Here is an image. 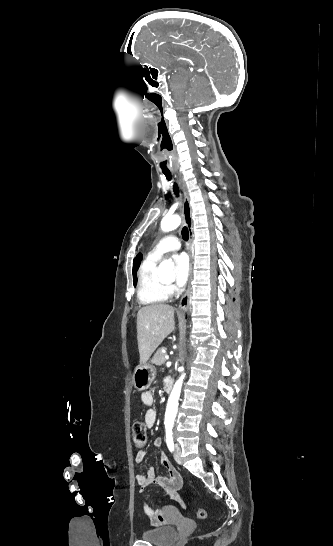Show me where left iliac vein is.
<instances>
[{
  "mask_svg": "<svg viewBox=\"0 0 333 546\" xmlns=\"http://www.w3.org/2000/svg\"><path fill=\"white\" fill-rule=\"evenodd\" d=\"M174 459L178 464H181L182 458H181V448L178 444L175 446V452H174Z\"/></svg>",
  "mask_w": 333,
  "mask_h": 546,
  "instance_id": "1",
  "label": "left iliac vein"
}]
</instances>
